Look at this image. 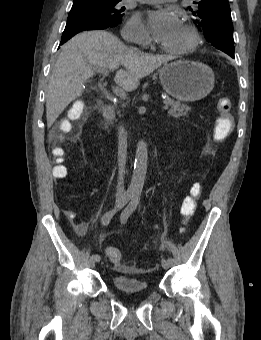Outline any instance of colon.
Instances as JSON below:
<instances>
[{"instance_id": "colon-1", "label": "colon", "mask_w": 261, "mask_h": 340, "mask_svg": "<svg viewBox=\"0 0 261 340\" xmlns=\"http://www.w3.org/2000/svg\"><path fill=\"white\" fill-rule=\"evenodd\" d=\"M216 106L220 115L215 124L214 137L217 141H222L226 139L234 129V119L231 114L232 103L228 97H221L218 99ZM81 113L82 104L75 103L69 115L71 119H78ZM60 129L63 132H68L71 130V125L68 121H64L61 123ZM52 152L57 162V165L53 169V174L56 178H64L67 175V169L62 163L67 158V151L63 147L55 146ZM201 194L202 187L199 183H196L192 186L190 194L184 198L181 206L184 223H187L195 212L197 201ZM107 255L113 264L117 267H122V254L119 249L111 247L107 250Z\"/></svg>"}]
</instances>
